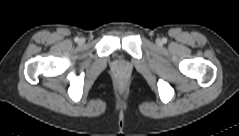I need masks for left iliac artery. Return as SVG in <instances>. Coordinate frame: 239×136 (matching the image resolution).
<instances>
[{
  "label": "left iliac artery",
  "instance_id": "left-iliac-artery-1",
  "mask_svg": "<svg viewBox=\"0 0 239 136\" xmlns=\"http://www.w3.org/2000/svg\"><path fill=\"white\" fill-rule=\"evenodd\" d=\"M162 42H163V43H166V42H167V38H163V39H162Z\"/></svg>",
  "mask_w": 239,
  "mask_h": 136
}]
</instances>
